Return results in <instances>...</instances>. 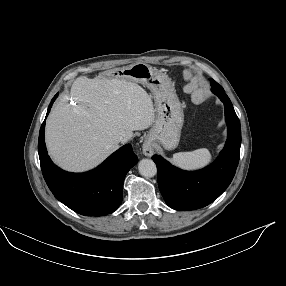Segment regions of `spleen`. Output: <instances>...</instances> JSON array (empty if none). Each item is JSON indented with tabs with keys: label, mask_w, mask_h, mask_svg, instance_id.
Instances as JSON below:
<instances>
[{
	"label": "spleen",
	"mask_w": 286,
	"mask_h": 286,
	"mask_svg": "<svg viewBox=\"0 0 286 286\" xmlns=\"http://www.w3.org/2000/svg\"><path fill=\"white\" fill-rule=\"evenodd\" d=\"M211 161V154L206 148L197 149L191 152H179L171 157V162L181 168L193 170L199 169Z\"/></svg>",
	"instance_id": "obj_1"
}]
</instances>
